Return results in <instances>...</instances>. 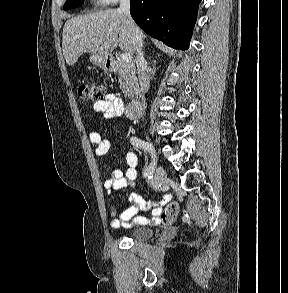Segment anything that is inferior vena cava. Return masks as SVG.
Returning <instances> with one entry per match:
<instances>
[{
	"mask_svg": "<svg viewBox=\"0 0 288 293\" xmlns=\"http://www.w3.org/2000/svg\"><path fill=\"white\" fill-rule=\"evenodd\" d=\"M118 11L126 17L129 27L134 35L135 42H136V50H137L136 66H137L138 81L141 87V91L147 92L149 90V78L146 74L147 62L144 58V53L142 50L143 36H142L141 30L131 18L130 0H120V6L118 8Z\"/></svg>",
	"mask_w": 288,
	"mask_h": 293,
	"instance_id": "inferior-vena-cava-1",
	"label": "inferior vena cava"
}]
</instances>
